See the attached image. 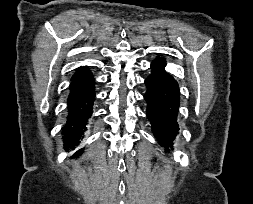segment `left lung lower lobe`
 <instances>
[{
  "label": "left lung lower lobe",
  "mask_w": 253,
  "mask_h": 204,
  "mask_svg": "<svg viewBox=\"0 0 253 204\" xmlns=\"http://www.w3.org/2000/svg\"><path fill=\"white\" fill-rule=\"evenodd\" d=\"M166 62L162 58L151 64L152 72L146 78L147 116L155 137L166 151L172 148V140L178 134L177 113L179 108V87L174 78L165 71Z\"/></svg>",
  "instance_id": "1"
}]
</instances>
